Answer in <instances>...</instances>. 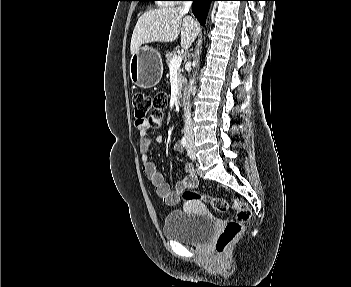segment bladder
Masks as SVG:
<instances>
[{
    "mask_svg": "<svg viewBox=\"0 0 351 287\" xmlns=\"http://www.w3.org/2000/svg\"><path fill=\"white\" fill-rule=\"evenodd\" d=\"M216 225V219L210 215L196 217L195 213L175 210L165 218L163 235L184 245L198 246L212 236Z\"/></svg>",
    "mask_w": 351,
    "mask_h": 287,
    "instance_id": "bladder-1",
    "label": "bladder"
}]
</instances>
